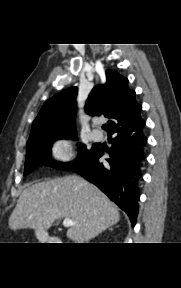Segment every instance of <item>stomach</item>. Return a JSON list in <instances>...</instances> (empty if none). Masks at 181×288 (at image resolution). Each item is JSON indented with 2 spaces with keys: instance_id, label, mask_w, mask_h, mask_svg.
Returning <instances> with one entry per match:
<instances>
[{
  "instance_id": "stomach-1",
  "label": "stomach",
  "mask_w": 181,
  "mask_h": 288,
  "mask_svg": "<svg viewBox=\"0 0 181 288\" xmlns=\"http://www.w3.org/2000/svg\"><path fill=\"white\" fill-rule=\"evenodd\" d=\"M42 235H46V234H43V233H37V236L39 239H42Z\"/></svg>"
}]
</instances>
